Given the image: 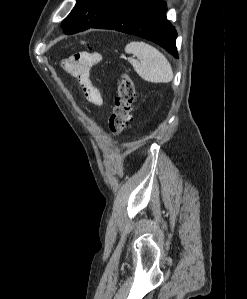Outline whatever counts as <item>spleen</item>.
I'll list each match as a JSON object with an SVG mask.
<instances>
[{
	"label": "spleen",
	"instance_id": "3e777b00",
	"mask_svg": "<svg viewBox=\"0 0 247 299\" xmlns=\"http://www.w3.org/2000/svg\"><path fill=\"white\" fill-rule=\"evenodd\" d=\"M125 52L133 54L137 59L130 58L129 62L136 73L145 81L167 83L173 79L172 67L167 58L155 47L145 42H130Z\"/></svg>",
	"mask_w": 247,
	"mask_h": 299
}]
</instances>
